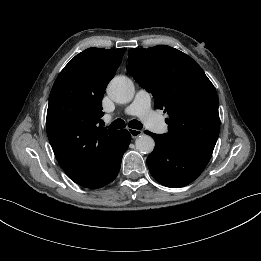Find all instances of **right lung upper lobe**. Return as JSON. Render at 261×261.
<instances>
[{"label":"right lung upper lobe","mask_w":261,"mask_h":261,"mask_svg":"<svg viewBox=\"0 0 261 261\" xmlns=\"http://www.w3.org/2000/svg\"><path fill=\"white\" fill-rule=\"evenodd\" d=\"M125 48H89L60 72L49 96L46 128L54 154L75 183L98 171L122 130L99 126L102 98Z\"/></svg>","instance_id":"obj_1"}]
</instances>
